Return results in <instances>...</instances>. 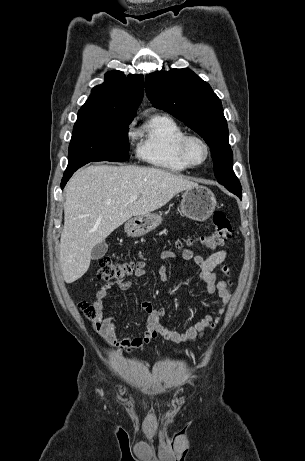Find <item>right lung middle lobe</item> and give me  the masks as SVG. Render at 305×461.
<instances>
[{
  "label": "right lung middle lobe",
  "mask_w": 305,
  "mask_h": 461,
  "mask_svg": "<svg viewBox=\"0 0 305 461\" xmlns=\"http://www.w3.org/2000/svg\"><path fill=\"white\" fill-rule=\"evenodd\" d=\"M132 120L78 113L69 145L67 169L91 161L128 160V128Z\"/></svg>",
  "instance_id": "dd1d6c3e"
}]
</instances>
